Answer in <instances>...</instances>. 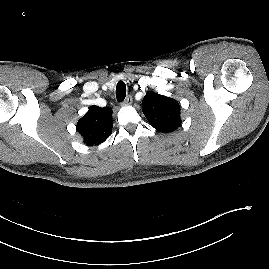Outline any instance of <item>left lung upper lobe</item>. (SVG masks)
Listing matches in <instances>:
<instances>
[{"mask_svg":"<svg viewBox=\"0 0 269 269\" xmlns=\"http://www.w3.org/2000/svg\"><path fill=\"white\" fill-rule=\"evenodd\" d=\"M142 111L150 125L160 132H173L181 125L180 105L175 99L147 92Z\"/></svg>","mask_w":269,"mask_h":269,"instance_id":"1","label":"left lung upper lobe"}]
</instances>
